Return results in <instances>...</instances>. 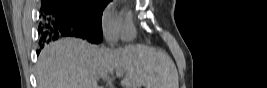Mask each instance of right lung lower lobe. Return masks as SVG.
Listing matches in <instances>:
<instances>
[{"label":"right lung lower lobe","instance_id":"98d812e1","mask_svg":"<svg viewBox=\"0 0 267 88\" xmlns=\"http://www.w3.org/2000/svg\"><path fill=\"white\" fill-rule=\"evenodd\" d=\"M49 18L48 22L40 27V42L45 43L50 40L58 39L62 36H74L87 39L91 43H99L102 37L87 31L83 26L75 24L72 20L60 17L55 14L46 13ZM39 53V51H37Z\"/></svg>","mask_w":267,"mask_h":88}]
</instances>
